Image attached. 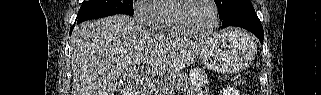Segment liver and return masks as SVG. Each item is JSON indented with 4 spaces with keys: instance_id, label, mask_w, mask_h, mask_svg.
<instances>
[{
    "instance_id": "obj_1",
    "label": "liver",
    "mask_w": 321,
    "mask_h": 95,
    "mask_svg": "<svg viewBox=\"0 0 321 95\" xmlns=\"http://www.w3.org/2000/svg\"><path fill=\"white\" fill-rule=\"evenodd\" d=\"M207 43L152 34L126 15L82 23L71 40L72 95H114L139 64L148 75L177 72Z\"/></svg>"
}]
</instances>
